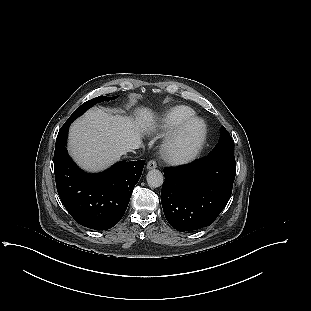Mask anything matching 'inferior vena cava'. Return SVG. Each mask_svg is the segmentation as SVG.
Here are the masks:
<instances>
[{
  "label": "inferior vena cava",
  "mask_w": 311,
  "mask_h": 311,
  "mask_svg": "<svg viewBox=\"0 0 311 311\" xmlns=\"http://www.w3.org/2000/svg\"><path fill=\"white\" fill-rule=\"evenodd\" d=\"M125 149L129 153H137V152L140 151L141 146L137 142H133V143L129 142V143L126 144Z\"/></svg>",
  "instance_id": "obj_1"
}]
</instances>
